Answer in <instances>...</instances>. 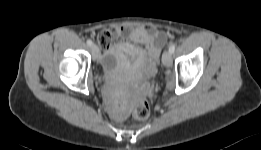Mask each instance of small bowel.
Here are the masks:
<instances>
[{"instance_id":"small-bowel-1","label":"small bowel","mask_w":261,"mask_h":150,"mask_svg":"<svg viewBox=\"0 0 261 150\" xmlns=\"http://www.w3.org/2000/svg\"><path fill=\"white\" fill-rule=\"evenodd\" d=\"M123 32V28L112 27L103 30L98 36V41L102 47L107 48L112 38L118 37ZM129 38L138 44L144 46V49H139L133 45L127 44L123 46L131 52L137 60L145 61L150 67L155 68L161 49L166 42V34L157 30L152 26H139L129 32Z\"/></svg>"}]
</instances>
